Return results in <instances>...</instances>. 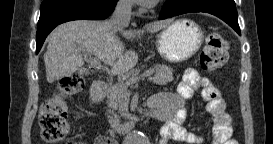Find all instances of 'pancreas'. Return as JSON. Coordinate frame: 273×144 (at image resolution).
I'll return each instance as SVG.
<instances>
[{"label":"pancreas","mask_w":273,"mask_h":144,"mask_svg":"<svg viewBox=\"0 0 273 144\" xmlns=\"http://www.w3.org/2000/svg\"><path fill=\"white\" fill-rule=\"evenodd\" d=\"M155 72L154 76L150 79L153 83L158 85H165L173 81V69L167 65L157 64L153 67ZM135 77H131L126 81H119L112 86L108 96V113L112 116H107L108 121L112 128H118L120 125V117L114 113V110H118L125 97L129 95L128 86L132 85L135 81Z\"/></svg>","instance_id":"cf45deb5"}]
</instances>
